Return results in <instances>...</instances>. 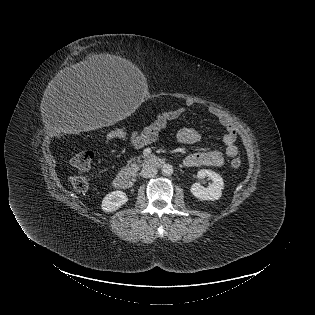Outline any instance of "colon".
Instances as JSON below:
<instances>
[{"label": "colon", "instance_id": "colon-1", "mask_svg": "<svg viewBox=\"0 0 315 315\" xmlns=\"http://www.w3.org/2000/svg\"><path fill=\"white\" fill-rule=\"evenodd\" d=\"M128 133L124 130L118 129L110 133V139H122L125 138ZM94 154L92 151L83 150L76 153L70 160V166L72 168V173L69 176V182L77 192H85L89 188V180L85 176V171H87L91 165ZM242 164L240 158H235L231 161V166L233 168H239Z\"/></svg>", "mask_w": 315, "mask_h": 315}]
</instances>
